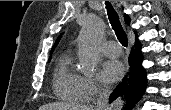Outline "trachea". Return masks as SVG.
I'll list each match as a JSON object with an SVG mask.
<instances>
[{"label": "trachea", "instance_id": "obj_1", "mask_svg": "<svg viewBox=\"0 0 171 110\" xmlns=\"http://www.w3.org/2000/svg\"><path fill=\"white\" fill-rule=\"evenodd\" d=\"M106 9H107V14L109 17L110 24H111L119 42L123 46L127 47V45H128L127 36L122 28V25L120 23L119 16H118L117 12L114 10L111 3L107 2V1H106Z\"/></svg>", "mask_w": 171, "mask_h": 110}]
</instances>
